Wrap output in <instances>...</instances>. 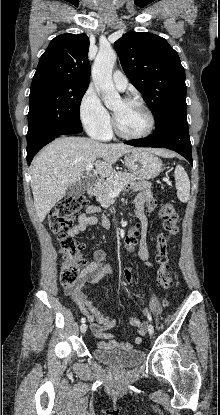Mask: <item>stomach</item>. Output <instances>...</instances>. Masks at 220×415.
<instances>
[{
	"instance_id": "1",
	"label": "stomach",
	"mask_w": 220,
	"mask_h": 415,
	"mask_svg": "<svg viewBox=\"0 0 220 415\" xmlns=\"http://www.w3.org/2000/svg\"><path fill=\"white\" fill-rule=\"evenodd\" d=\"M127 168L142 179H153L162 171V162L147 150L133 152L124 158Z\"/></svg>"
}]
</instances>
